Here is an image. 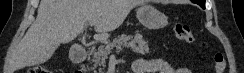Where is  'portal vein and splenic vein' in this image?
<instances>
[{
  "mask_svg": "<svg viewBox=\"0 0 244 73\" xmlns=\"http://www.w3.org/2000/svg\"><path fill=\"white\" fill-rule=\"evenodd\" d=\"M95 24V21H91V22H89V25L90 26H93Z\"/></svg>",
  "mask_w": 244,
  "mask_h": 73,
  "instance_id": "portal-vein-and-splenic-vein-1",
  "label": "portal vein and splenic vein"
}]
</instances>
